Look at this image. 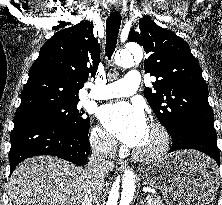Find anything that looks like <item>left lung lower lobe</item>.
Returning a JSON list of instances; mask_svg holds the SVG:
<instances>
[{"instance_id": "0a47b994", "label": "left lung lower lobe", "mask_w": 222, "mask_h": 205, "mask_svg": "<svg viewBox=\"0 0 222 205\" xmlns=\"http://www.w3.org/2000/svg\"><path fill=\"white\" fill-rule=\"evenodd\" d=\"M173 144L170 152L182 149H194L205 153L220 165L219 149L217 147V133L214 124L195 123L190 124L172 137Z\"/></svg>"}]
</instances>
